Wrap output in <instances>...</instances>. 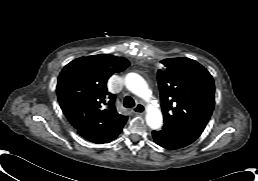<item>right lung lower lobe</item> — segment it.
Returning a JSON list of instances; mask_svg holds the SVG:
<instances>
[{
	"mask_svg": "<svg viewBox=\"0 0 258 181\" xmlns=\"http://www.w3.org/2000/svg\"><path fill=\"white\" fill-rule=\"evenodd\" d=\"M126 120H119L109 124L100 125L96 128L78 132L85 139L97 143H108L115 139L121 132Z\"/></svg>",
	"mask_w": 258,
	"mask_h": 181,
	"instance_id": "1",
	"label": "right lung lower lobe"
}]
</instances>
